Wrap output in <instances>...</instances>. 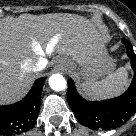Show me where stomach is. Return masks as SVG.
<instances>
[{"label": "stomach", "instance_id": "0dacf381", "mask_svg": "<svg viewBox=\"0 0 136 136\" xmlns=\"http://www.w3.org/2000/svg\"><path fill=\"white\" fill-rule=\"evenodd\" d=\"M74 61L81 67L80 73L87 80H95L108 73L112 66V60L107 56L105 49L94 51L90 56L78 55L76 58L64 56L59 60V67L74 68Z\"/></svg>", "mask_w": 136, "mask_h": 136}]
</instances>
